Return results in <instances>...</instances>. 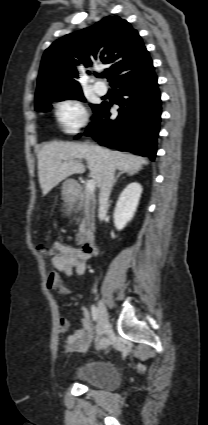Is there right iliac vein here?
Returning a JSON list of instances; mask_svg holds the SVG:
<instances>
[{
    "mask_svg": "<svg viewBox=\"0 0 208 425\" xmlns=\"http://www.w3.org/2000/svg\"><path fill=\"white\" fill-rule=\"evenodd\" d=\"M110 329L109 318L106 306L103 301L98 302V324H97V334L98 337H101Z\"/></svg>",
    "mask_w": 208,
    "mask_h": 425,
    "instance_id": "right-iliac-vein-1",
    "label": "right iliac vein"
}]
</instances>
